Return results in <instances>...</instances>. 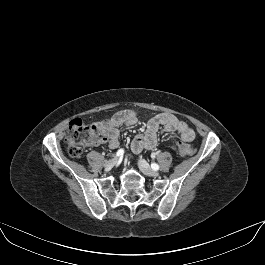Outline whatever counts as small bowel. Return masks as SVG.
Returning a JSON list of instances; mask_svg holds the SVG:
<instances>
[{
    "mask_svg": "<svg viewBox=\"0 0 265 265\" xmlns=\"http://www.w3.org/2000/svg\"><path fill=\"white\" fill-rule=\"evenodd\" d=\"M139 121L138 114L131 109L121 110L111 118L98 122L95 126L101 136L99 142L107 143L112 149L118 147L120 138V127L123 125L133 126ZM163 131L167 133H178L183 142H191L195 138V132L185 122L179 120L172 114L160 113L147 122L146 131L136 135L131 142V149L135 154L143 150H153L157 146L158 134Z\"/></svg>",
    "mask_w": 265,
    "mask_h": 265,
    "instance_id": "c3829d8e",
    "label": "small bowel"
}]
</instances>
